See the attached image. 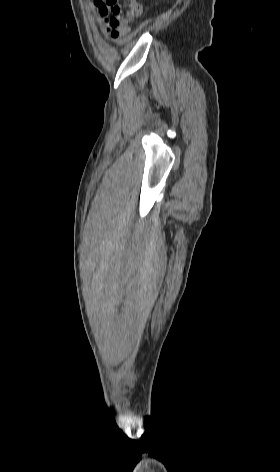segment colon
I'll return each instance as SVG.
<instances>
[{"instance_id":"1","label":"colon","mask_w":280,"mask_h":472,"mask_svg":"<svg viewBox=\"0 0 280 472\" xmlns=\"http://www.w3.org/2000/svg\"><path fill=\"white\" fill-rule=\"evenodd\" d=\"M95 4L103 17L110 16L109 22L115 27H126L141 14V5L137 0H127L125 12L119 0H95Z\"/></svg>"}]
</instances>
